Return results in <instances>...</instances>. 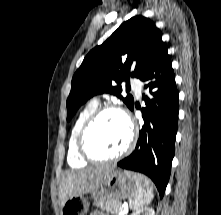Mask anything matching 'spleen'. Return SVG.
<instances>
[{"instance_id": "obj_1", "label": "spleen", "mask_w": 221, "mask_h": 215, "mask_svg": "<svg viewBox=\"0 0 221 215\" xmlns=\"http://www.w3.org/2000/svg\"><path fill=\"white\" fill-rule=\"evenodd\" d=\"M139 175V174H137ZM142 176V175H141ZM141 180L136 177L135 189L129 197L130 208L137 211L150 204L153 199V187L148 178Z\"/></svg>"}]
</instances>
